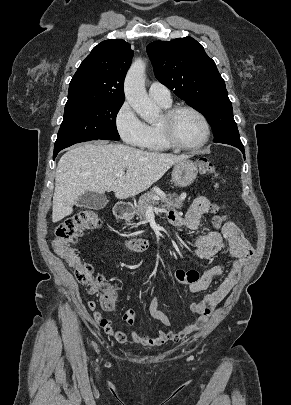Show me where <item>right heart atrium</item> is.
Masks as SVG:
<instances>
[{
  "label": "right heart atrium",
  "instance_id": "d8ad5b80",
  "mask_svg": "<svg viewBox=\"0 0 291 405\" xmlns=\"http://www.w3.org/2000/svg\"><path fill=\"white\" fill-rule=\"evenodd\" d=\"M115 128L121 139L127 145L142 147L147 125L143 122L128 102L122 103L115 114Z\"/></svg>",
  "mask_w": 291,
  "mask_h": 405
}]
</instances>
